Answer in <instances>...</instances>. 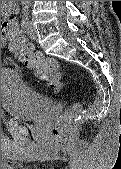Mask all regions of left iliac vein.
<instances>
[{
  "instance_id": "1",
  "label": "left iliac vein",
  "mask_w": 121,
  "mask_h": 169,
  "mask_svg": "<svg viewBox=\"0 0 121 169\" xmlns=\"http://www.w3.org/2000/svg\"><path fill=\"white\" fill-rule=\"evenodd\" d=\"M25 32L28 34V36L31 38V39H36L37 38V30L36 28L34 27L33 23L31 21H29L28 23V26L25 30Z\"/></svg>"
}]
</instances>
